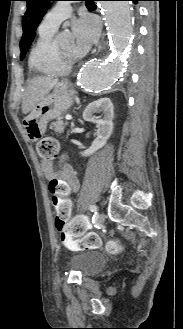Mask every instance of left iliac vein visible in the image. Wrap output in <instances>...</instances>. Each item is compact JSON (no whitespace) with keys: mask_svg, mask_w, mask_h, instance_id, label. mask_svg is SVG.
Masks as SVG:
<instances>
[{"mask_svg":"<svg viewBox=\"0 0 183 329\" xmlns=\"http://www.w3.org/2000/svg\"><path fill=\"white\" fill-rule=\"evenodd\" d=\"M104 221H105V215L103 213H100L98 216L99 225H103Z\"/></svg>","mask_w":183,"mask_h":329,"instance_id":"left-iliac-vein-1","label":"left iliac vein"}]
</instances>
